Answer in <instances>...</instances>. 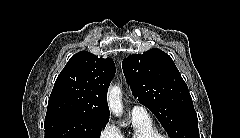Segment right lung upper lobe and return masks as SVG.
I'll return each mask as SVG.
<instances>
[{
    "label": "right lung upper lobe",
    "mask_w": 240,
    "mask_h": 138,
    "mask_svg": "<svg viewBox=\"0 0 240 138\" xmlns=\"http://www.w3.org/2000/svg\"><path fill=\"white\" fill-rule=\"evenodd\" d=\"M114 75L111 58L76 53L56 79L46 117L69 114L108 122L107 91Z\"/></svg>",
    "instance_id": "1"
}]
</instances>
